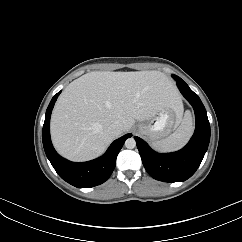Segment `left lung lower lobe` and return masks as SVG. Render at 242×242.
<instances>
[{"label":"left lung lower lobe","mask_w":242,"mask_h":242,"mask_svg":"<svg viewBox=\"0 0 242 242\" xmlns=\"http://www.w3.org/2000/svg\"><path fill=\"white\" fill-rule=\"evenodd\" d=\"M177 86L195 111L196 128L188 144L179 151L159 154L145 141L134 137L146 171L154 179L164 182H179L190 178L199 167L210 141V124L200 98L182 79H178Z\"/></svg>","instance_id":"1"}]
</instances>
